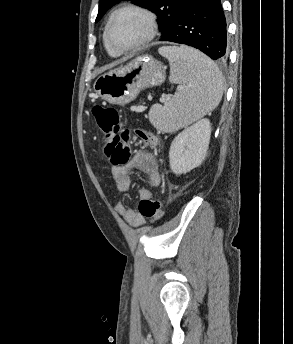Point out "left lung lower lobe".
<instances>
[{"mask_svg":"<svg viewBox=\"0 0 293 344\" xmlns=\"http://www.w3.org/2000/svg\"><path fill=\"white\" fill-rule=\"evenodd\" d=\"M160 41L189 45L213 60H225L226 20L220 0H185L174 24Z\"/></svg>","mask_w":293,"mask_h":344,"instance_id":"0a47b994","label":"left lung lower lobe"}]
</instances>
